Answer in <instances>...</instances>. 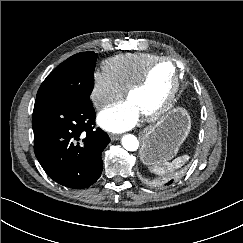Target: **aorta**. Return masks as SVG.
<instances>
[{
    "instance_id": "762f6f07",
    "label": "aorta",
    "mask_w": 243,
    "mask_h": 243,
    "mask_svg": "<svg viewBox=\"0 0 243 243\" xmlns=\"http://www.w3.org/2000/svg\"><path fill=\"white\" fill-rule=\"evenodd\" d=\"M121 144L128 151H136L139 147V141L137 137L132 134L123 136Z\"/></svg>"
}]
</instances>
